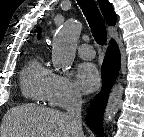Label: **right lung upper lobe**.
Returning <instances> with one entry per match:
<instances>
[{"label": "right lung upper lobe", "mask_w": 144, "mask_h": 137, "mask_svg": "<svg viewBox=\"0 0 144 137\" xmlns=\"http://www.w3.org/2000/svg\"><path fill=\"white\" fill-rule=\"evenodd\" d=\"M99 1V5L102 11V14L106 20V22L109 25H115L116 23V14L113 10V7L111 6V4L108 2V0H98ZM38 32H41V29H38ZM40 35V34H39ZM40 38V36H39Z\"/></svg>", "instance_id": "cb5924a9"}]
</instances>
